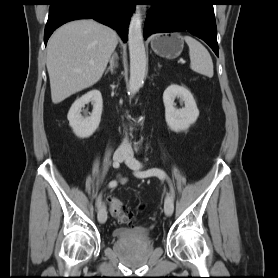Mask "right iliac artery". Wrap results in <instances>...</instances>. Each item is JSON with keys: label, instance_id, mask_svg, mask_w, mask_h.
Returning <instances> with one entry per match:
<instances>
[{"label": "right iliac artery", "instance_id": "82829eb1", "mask_svg": "<svg viewBox=\"0 0 278 278\" xmlns=\"http://www.w3.org/2000/svg\"><path fill=\"white\" fill-rule=\"evenodd\" d=\"M113 167H114V168H118V167H119V163L114 162V163H113ZM116 185H117V182H116V181H111V182L109 183V187H115ZM101 198H102V194H100L99 197H98V199H97V206L100 205V203H101Z\"/></svg>", "mask_w": 278, "mask_h": 278}]
</instances>
